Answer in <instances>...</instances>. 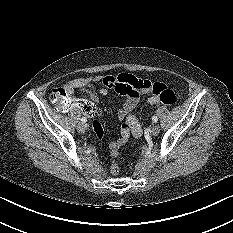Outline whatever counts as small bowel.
<instances>
[{"label":"small bowel","mask_w":233,"mask_h":233,"mask_svg":"<svg viewBox=\"0 0 233 233\" xmlns=\"http://www.w3.org/2000/svg\"><path fill=\"white\" fill-rule=\"evenodd\" d=\"M139 80L145 85V87L138 89H124L120 87V75H98L87 78L72 79L62 88H64L70 96L73 95L75 90L85 92L89 95L90 100L94 103L98 102V94L106 95L109 90H115L126 97L122 107L117 113L118 119L122 121L120 135L116 140L110 143L111 151L115 152L128 141L130 136L140 137L142 135V127L137 119L132 115V111L136 108L141 94L151 95V97L148 99V102L151 105L156 99V96L153 94L150 88V85H152L153 82L149 80ZM97 85H101V87L98 88Z\"/></svg>","instance_id":"small-bowel-1"}]
</instances>
